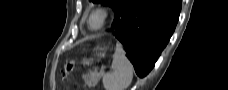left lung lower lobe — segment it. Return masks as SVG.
<instances>
[{
  "mask_svg": "<svg viewBox=\"0 0 228 90\" xmlns=\"http://www.w3.org/2000/svg\"><path fill=\"white\" fill-rule=\"evenodd\" d=\"M181 0H130L112 25L139 77L154 67L178 21Z\"/></svg>",
  "mask_w": 228,
  "mask_h": 90,
  "instance_id": "obj_1",
  "label": "left lung lower lobe"
}]
</instances>
